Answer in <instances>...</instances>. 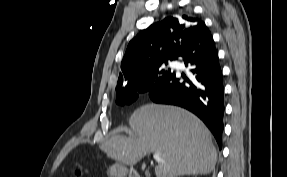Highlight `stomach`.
Wrapping results in <instances>:
<instances>
[{"instance_id":"obj_1","label":"stomach","mask_w":287,"mask_h":177,"mask_svg":"<svg viewBox=\"0 0 287 177\" xmlns=\"http://www.w3.org/2000/svg\"><path fill=\"white\" fill-rule=\"evenodd\" d=\"M109 174L112 177H126L127 175L131 177L132 174H135V171L128 169L124 164L116 163L109 168Z\"/></svg>"}]
</instances>
